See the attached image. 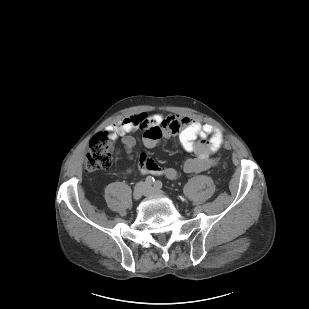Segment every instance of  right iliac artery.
Here are the masks:
<instances>
[{
  "label": "right iliac artery",
  "mask_w": 309,
  "mask_h": 309,
  "mask_svg": "<svg viewBox=\"0 0 309 309\" xmlns=\"http://www.w3.org/2000/svg\"><path fill=\"white\" fill-rule=\"evenodd\" d=\"M155 179L151 176H148L145 180L146 184L152 185L154 183Z\"/></svg>",
  "instance_id": "obj_1"
}]
</instances>
